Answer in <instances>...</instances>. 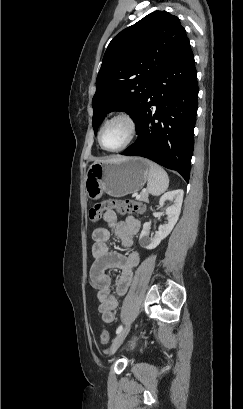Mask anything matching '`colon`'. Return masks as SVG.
<instances>
[{
    "label": "colon",
    "instance_id": "1",
    "mask_svg": "<svg viewBox=\"0 0 243 409\" xmlns=\"http://www.w3.org/2000/svg\"><path fill=\"white\" fill-rule=\"evenodd\" d=\"M108 210H116L119 214H143L145 207L142 203L132 199L98 202L89 209L88 215L90 221L96 223L100 220L102 213ZM108 341V332L106 330H102L100 333L101 344L106 345Z\"/></svg>",
    "mask_w": 243,
    "mask_h": 409
}]
</instances>
